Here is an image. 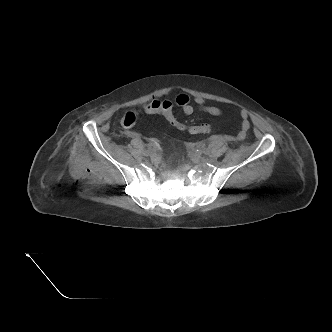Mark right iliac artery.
Returning <instances> with one entry per match:
<instances>
[{"instance_id": "right-iliac-artery-1", "label": "right iliac artery", "mask_w": 332, "mask_h": 332, "mask_svg": "<svg viewBox=\"0 0 332 332\" xmlns=\"http://www.w3.org/2000/svg\"><path fill=\"white\" fill-rule=\"evenodd\" d=\"M153 148V144L152 143H148L145 145V152L148 151V150H152Z\"/></svg>"}]
</instances>
